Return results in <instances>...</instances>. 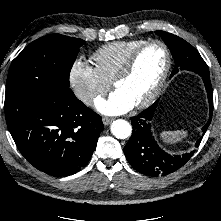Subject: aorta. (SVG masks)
<instances>
[{"mask_svg":"<svg viewBox=\"0 0 221 221\" xmlns=\"http://www.w3.org/2000/svg\"><path fill=\"white\" fill-rule=\"evenodd\" d=\"M111 133L119 139H126L132 133V127L129 122L123 119H118L111 124Z\"/></svg>","mask_w":221,"mask_h":221,"instance_id":"aorta-1","label":"aorta"}]
</instances>
